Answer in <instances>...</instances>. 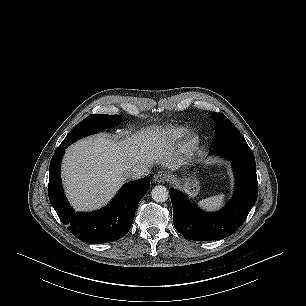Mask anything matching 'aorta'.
<instances>
[{
  "mask_svg": "<svg viewBox=\"0 0 306 306\" xmlns=\"http://www.w3.org/2000/svg\"><path fill=\"white\" fill-rule=\"evenodd\" d=\"M151 196L156 202H165L168 199L169 192L165 186L157 185L152 189Z\"/></svg>",
  "mask_w": 306,
  "mask_h": 306,
  "instance_id": "obj_1",
  "label": "aorta"
}]
</instances>
